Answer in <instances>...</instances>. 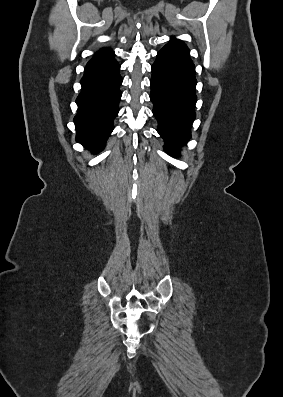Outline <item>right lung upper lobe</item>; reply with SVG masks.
<instances>
[{"instance_id":"1","label":"right lung upper lobe","mask_w":283,"mask_h":397,"mask_svg":"<svg viewBox=\"0 0 283 397\" xmlns=\"http://www.w3.org/2000/svg\"><path fill=\"white\" fill-rule=\"evenodd\" d=\"M114 57V52L111 48H102L99 50L94 57L87 63V65L100 63L109 60Z\"/></svg>"}]
</instances>
